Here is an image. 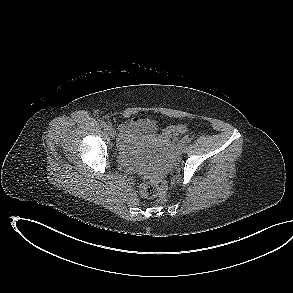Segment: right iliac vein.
Segmentation results:
<instances>
[{"mask_svg":"<svg viewBox=\"0 0 293 293\" xmlns=\"http://www.w3.org/2000/svg\"><path fill=\"white\" fill-rule=\"evenodd\" d=\"M106 130L111 137H115V131L111 126H108Z\"/></svg>","mask_w":293,"mask_h":293,"instance_id":"obj_1","label":"right iliac vein"}]
</instances>
